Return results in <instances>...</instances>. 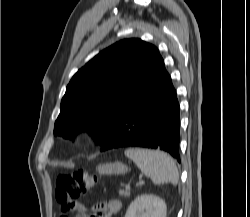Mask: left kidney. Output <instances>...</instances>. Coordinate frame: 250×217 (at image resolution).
<instances>
[{
    "label": "left kidney",
    "mask_w": 250,
    "mask_h": 217,
    "mask_svg": "<svg viewBox=\"0 0 250 217\" xmlns=\"http://www.w3.org/2000/svg\"><path fill=\"white\" fill-rule=\"evenodd\" d=\"M163 199L152 194L138 196L128 207L125 217H166Z\"/></svg>",
    "instance_id": "1"
}]
</instances>
